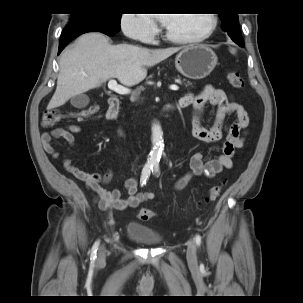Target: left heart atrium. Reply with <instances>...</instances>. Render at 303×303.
Segmentation results:
<instances>
[{
	"mask_svg": "<svg viewBox=\"0 0 303 303\" xmlns=\"http://www.w3.org/2000/svg\"><path fill=\"white\" fill-rule=\"evenodd\" d=\"M156 18H158L159 22L162 23L163 25H167L169 21L168 14L156 15Z\"/></svg>",
	"mask_w": 303,
	"mask_h": 303,
	"instance_id": "obj_1",
	"label": "left heart atrium"
}]
</instances>
